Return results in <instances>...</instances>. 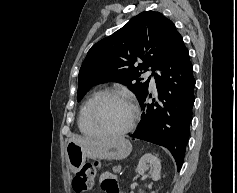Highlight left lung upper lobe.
<instances>
[{
	"instance_id": "5c2ea615",
	"label": "left lung upper lobe",
	"mask_w": 237,
	"mask_h": 193,
	"mask_svg": "<svg viewBox=\"0 0 237 193\" xmlns=\"http://www.w3.org/2000/svg\"><path fill=\"white\" fill-rule=\"evenodd\" d=\"M181 39L173 22L161 13L138 14L88 51L79 72L77 101L92 86L112 81L128 86L140 102L150 80L139 78L141 71L157 70Z\"/></svg>"
}]
</instances>
